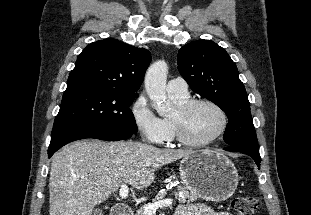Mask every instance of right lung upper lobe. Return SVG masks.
<instances>
[{
	"mask_svg": "<svg viewBox=\"0 0 311 215\" xmlns=\"http://www.w3.org/2000/svg\"><path fill=\"white\" fill-rule=\"evenodd\" d=\"M151 62V54L108 38L87 45L77 57L67 87L86 84L136 93Z\"/></svg>",
	"mask_w": 311,
	"mask_h": 215,
	"instance_id": "cb5924a9",
	"label": "right lung upper lobe"
}]
</instances>
